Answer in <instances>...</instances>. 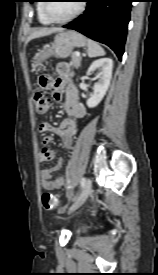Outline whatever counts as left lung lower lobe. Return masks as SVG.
Instances as JSON below:
<instances>
[{
  "label": "left lung lower lobe",
  "mask_w": 158,
  "mask_h": 275,
  "mask_svg": "<svg viewBox=\"0 0 158 275\" xmlns=\"http://www.w3.org/2000/svg\"><path fill=\"white\" fill-rule=\"evenodd\" d=\"M83 15L64 28L106 44L122 59L133 0H87Z\"/></svg>",
  "instance_id": "left-lung-lower-lobe-1"
}]
</instances>
